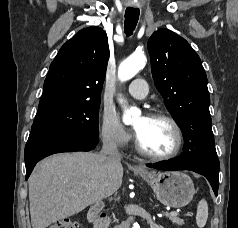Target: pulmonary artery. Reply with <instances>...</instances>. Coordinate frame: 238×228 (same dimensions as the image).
I'll use <instances>...</instances> for the list:
<instances>
[{"label":"pulmonary artery","instance_id":"e3ab8cb5","mask_svg":"<svg viewBox=\"0 0 238 228\" xmlns=\"http://www.w3.org/2000/svg\"><path fill=\"white\" fill-rule=\"evenodd\" d=\"M127 91L132 97L143 99L147 95V83L144 79H135L130 83Z\"/></svg>","mask_w":238,"mask_h":228}]
</instances>
